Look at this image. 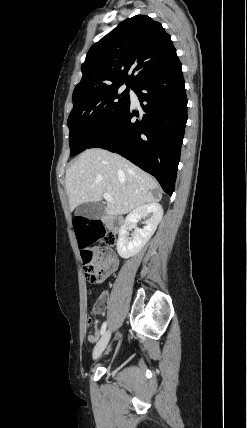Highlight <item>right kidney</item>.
I'll use <instances>...</instances> for the list:
<instances>
[{
	"mask_svg": "<svg viewBox=\"0 0 247 428\" xmlns=\"http://www.w3.org/2000/svg\"><path fill=\"white\" fill-rule=\"evenodd\" d=\"M149 215L151 217L146 222V226L143 229L136 228L132 238H129L127 227L135 225L139 219ZM162 217V206L156 202L145 204L130 212L125 219V224L119 231L117 251L120 257L127 259L139 253L156 231Z\"/></svg>",
	"mask_w": 247,
	"mask_h": 428,
	"instance_id": "1",
	"label": "right kidney"
}]
</instances>
